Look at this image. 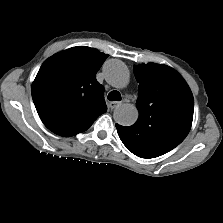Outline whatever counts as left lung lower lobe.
I'll use <instances>...</instances> for the list:
<instances>
[{"label":"left lung lower lobe","instance_id":"left-lung-lower-lobe-1","mask_svg":"<svg viewBox=\"0 0 223 223\" xmlns=\"http://www.w3.org/2000/svg\"><path fill=\"white\" fill-rule=\"evenodd\" d=\"M131 152L139 157H142V158H153L150 155L145 154V153H140V152H135V151H131Z\"/></svg>","mask_w":223,"mask_h":223}]
</instances>
